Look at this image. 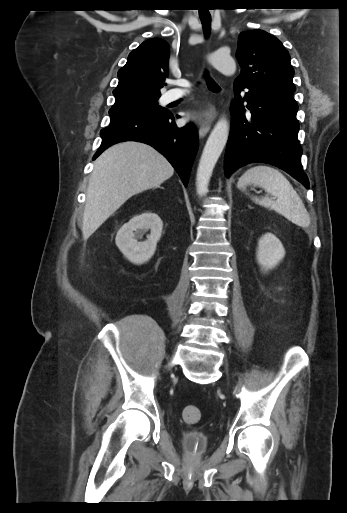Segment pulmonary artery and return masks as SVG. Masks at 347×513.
Returning a JSON list of instances; mask_svg holds the SVG:
<instances>
[{"label": "pulmonary artery", "mask_w": 347, "mask_h": 513, "mask_svg": "<svg viewBox=\"0 0 347 513\" xmlns=\"http://www.w3.org/2000/svg\"><path fill=\"white\" fill-rule=\"evenodd\" d=\"M176 84L180 86V88H175L169 90L165 96H164V102L169 103L176 101L182 97H184L187 94V91L184 88H187L190 86L189 81L185 79L177 80Z\"/></svg>", "instance_id": "pulmonary-artery-1"}]
</instances>
